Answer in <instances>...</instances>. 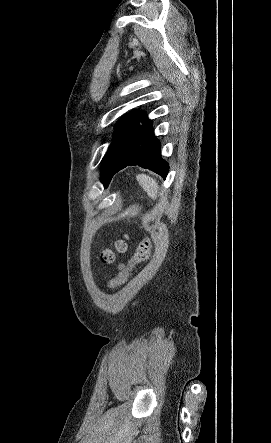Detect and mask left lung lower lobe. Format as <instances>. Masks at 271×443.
Returning a JSON list of instances; mask_svg holds the SVG:
<instances>
[{
  "mask_svg": "<svg viewBox=\"0 0 271 443\" xmlns=\"http://www.w3.org/2000/svg\"><path fill=\"white\" fill-rule=\"evenodd\" d=\"M131 165L150 169L164 179L169 171L168 163L161 158L160 142L154 135L152 123L143 112H138L134 121L126 129L119 144L110 177L112 178L115 173Z\"/></svg>",
  "mask_w": 271,
  "mask_h": 443,
  "instance_id": "0a47b994",
  "label": "left lung lower lobe"
}]
</instances>
